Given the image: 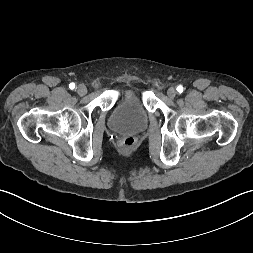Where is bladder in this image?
<instances>
[{
  "mask_svg": "<svg viewBox=\"0 0 253 253\" xmlns=\"http://www.w3.org/2000/svg\"><path fill=\"white\" fill-rule=\"evenodd\" d=\"M148 113L137 93L129 92L114 105L109 117L112 130L122 133H138L146 128Z\"/></svg>",
  "mask_w": 253,
  "mask_h": 253,
  "instance_id": "bladder-1",
  "label": "bladder"
}]
</instances>
